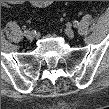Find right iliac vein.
<instances>
[{
    "label": "right iliac vein",
    "mask_w": 109,
    "mask_h": 109,
    "mask_svg": "<svg viewBox=\"0 0 109 109\" xmlns=\"http://www.w3.org/2000/svg\"><path fill=\"white\" fill-rule=\"evenodd\" d=\"M25 36L30 41H32L35 38V34L33 32H28Z\"/></svg>",
    "instance_id": "63e3f726"
}]
</instances>
